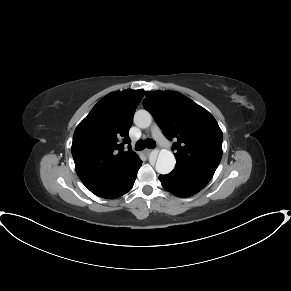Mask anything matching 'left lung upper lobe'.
<instances>
[{
    "label": "left lung upper lobe",
    "mask_w": 291,
    "mask_h": 291,
    "mask_svg": "<svg viewBox=\"0 0 291 291\" xmlns=\"http://www.w3.org/2000/svg\"><path fill=\"white\" fill-rule=\"evenodd\" d=\"M143 105L168 139L176 167L213 175L222 157V131L214 117L176 91H147Z\"/></svg>",
    "instance_id": "left-lung-upper-lobe-1"
}]
</instances>
